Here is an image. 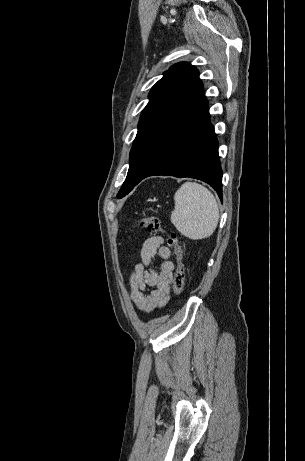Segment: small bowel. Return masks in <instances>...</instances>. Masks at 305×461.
<instances>
[{"label":"small bowel","mask_w":305,"mask_h":461,"mask_svg":"<svg viewBox=\"0 0 305 461\" xmlns=\"http://www.w3.org/2000/svg\"><path fill=\"white\" fill-rule=\"evenodd\" d=\"M156 256L161 259L159 270L150 268ZM140 259L130 274V296L138 310L150 313L169 301L174 263L171 250L161 236H153L144 241L140 248Z\"/></svg>","instance_id":"small-bowel-1"}]
</instances>
